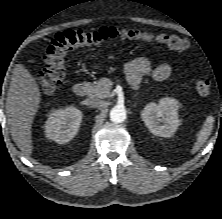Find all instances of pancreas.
Listing matches in <instances>:
<instances>
[{
  "label": "pancreas",
  "mask_w": 222,
  "mask_h": 219,
  "mask_svg": "<svg viewBox=\"0 0 222 219\" xmlns=\"http://www.w3.org/2000/svg\"><path fill=\"white\" fill-rule=\"evenodd\" d=\"M108 79L101 78L90 86L89 95L94 98L104 99L110 96L111 87L107 85Z\"/></svg>",
  "instance_id": "1"
}]
</instances>
